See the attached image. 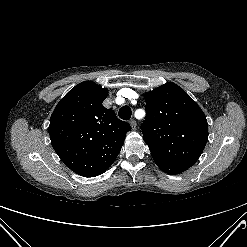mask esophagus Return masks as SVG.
Here are the masks:
<instances>
[{"label": "esophagus", "mask_w": 247, "mask_h": 247, "mask_svg": "<svg viewBox=\"0 0 247 247\" xmlns=\"http://www.w3.org/2000/svg\"><path fill=\"white\" fill-rule=\"evenodd\" d=\"M130 125L132 127V129H136L137 123L134 119L130 120Z\"/></svg>", "instance_id": "1"}]
</instances>
